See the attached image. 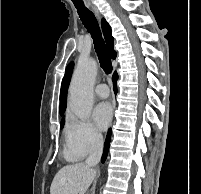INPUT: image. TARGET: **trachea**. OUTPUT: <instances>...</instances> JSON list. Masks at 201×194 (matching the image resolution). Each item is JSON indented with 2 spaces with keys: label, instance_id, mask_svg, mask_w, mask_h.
Returning a JSON list of instances; mask_svg holds the SVG:
<instances>
[{
  "label": "trachea",
  "instance_id": "3493384b",
  "mask_svg": "<svg viewBox=\"0 0 201 194\" xmlns=\"http://www.w3.org/2000/svg\"><path fill=\"white\" fill-rule=\"evenodd\" d=\"M73 3L77 9L82 23L84 24L87 31L91 34L94 47L102 69L106 74H110L112 72L111 59L105 42L102 38L99 24L93 12L86 8L82 2H75V0H73Z\"/></svg>",
  "mask_w": 201,
  "mask_h": 194
}]
</instances>
